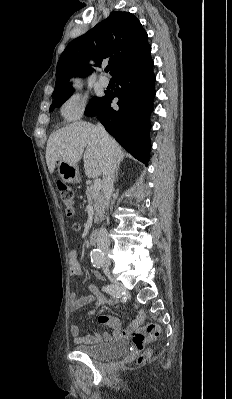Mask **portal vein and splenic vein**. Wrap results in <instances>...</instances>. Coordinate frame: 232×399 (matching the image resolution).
Segmentation results:
<instances>
[{
	"label": "portal vein and splenic vein",
	"mask_w": 232,
	"mask_h": 399,
	"mask_svg": "<svg viewBox=\"0 0 232 399\" xmlns=\"http://www.w3.org/2000/svg\"><path fill=\"white\" fill-rule=\"evenodd\" d=\"M93 188L94 190H101V180H94Z\"/></svg>",
	"instance_id": "obj_1"
}]
</instances>
